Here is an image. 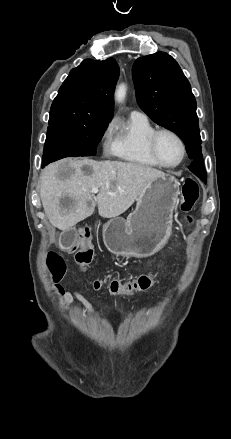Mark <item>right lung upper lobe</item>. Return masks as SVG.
Listing matches in <instances>:
<instances>
[{"label":"right lung upper lobe","mask_w":231,"mask_h":439,"mask_svg":"<svg viewBox=\"0 0 231 439\" xmlns=\"http://www.w3.org/2000/svg\"><path fill=\"white\" fill-rule=\"evenodd\" d=\"M119 67L113 58L104 61L84 60L71 70L54 99L50 117L88 115L112 119L113 93Z\"/></svg>","instance_id":"cb5924a9"}]
</instances>
